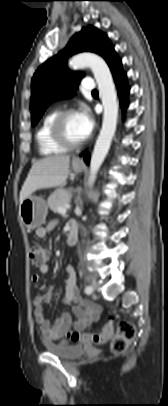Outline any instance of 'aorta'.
Returning a JSON list of instances; mask_svg holds the SVG:
<instances>
[{"label": "aorta", "instance_id": "aorta-1", "mask_svg": "<svg viewBox=\"0 0 168 406\" xmlns=\"http://www.w3.org/2000/svg\"><path fill=\"white\" fill-rule=\"evenodd\" d=\"M69 67L74 70L89 67L92 70L104 108L102 128L90 161L89 183L93 184L97 172L108 153L116 130L118 118L117 93L110 69L100 56L93 53L75 55L69 61Z\"/></svg>", "mask_w": 168, "mask_h": 406}]
</instances>
